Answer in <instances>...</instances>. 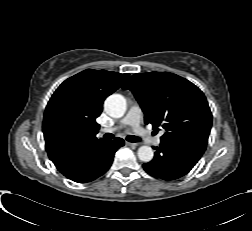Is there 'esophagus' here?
Returning <instances> with one entry per match:
<instances>
[{
	"label": "esophagus",
	"instance_id": "obj_1",
	"mask_svg": "<svg viewBox=\"0 0 252 231\" xmlns=\"http://www.w3.org/2000/svg\"><path fill=\"white\" fill-rule=\"evenodd\" d=\"M126 145L131 146V147H137L139 144L126 141Z\"/></svg>",
	"mask_w": 252,
	"mask_h": 231
}]
</instances>
